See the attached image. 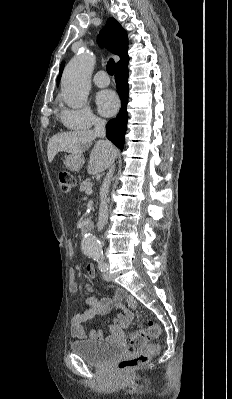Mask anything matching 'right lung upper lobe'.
<instances>
[{"label": "right lung upper lobe", "mask_w": 232, "mask_h": 399, "mask_svg": "<svg viewBox=\"0 0 232 399\" xmlns=\"http://www.w3.org/2000/svg\"><path fill=\"white\" fill-rule=\"evenodd\" d=\"M98 43L101 47L106 46L111 52L120 57V61L117 63V65L129 59L127 54V33L119 24V22L114 18L108 19L105 28L100 32V35L98 36ZM63 67L64 62H62L60 66V73L57 78V82H59L61 78Z\"/></svg>", "instance_id": "right-lung-upper-lobe-1"}]
</instances>
